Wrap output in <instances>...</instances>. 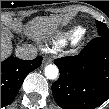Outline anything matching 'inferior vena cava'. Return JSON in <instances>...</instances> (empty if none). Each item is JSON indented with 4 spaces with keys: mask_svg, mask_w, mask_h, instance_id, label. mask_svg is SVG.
I'll use <instances>...</instances> for the list:
<instances>
[{
    "mask_svg": "<svg viewBox=\"0 0 109 109\" xmlns=\"http://www.w3.org/2000/svg\"><path fill=\"white\" fill-rule=\"evenodd\" d=\"M16 56L23 60H32L37 57V49L31 45L16 48Z\"/></svg>",
    "mask_w": 109,
    "mask_h": 109,
    "instance_id": "obj_1",
    "label": "inferior vena cava"
}]
</instances>
